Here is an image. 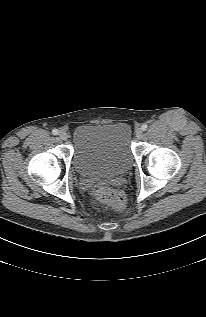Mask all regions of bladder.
Instances as JSON below:
<instances>
[{
    "mask_svg": "<svg viewBox=\"0 0 206 317\" xmlns=\"http://www.w3.org/2000/svg\"><path fill=\"white\" fill-rule=\"evenodd\" d=\"M132 133L125 123L84 124L73 132V166L83 178L124 174L131 168Z\"/></svg>",
    "mask_w": 206,
    "mask_h": 317,
    "instance_id": "1",
    "label": "bladder"
}]
</instances>
